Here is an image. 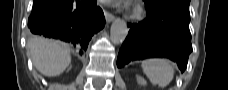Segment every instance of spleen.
Masks as SVG:
<instances>
[{
    "mask_svg": "<svg viewBox=\"0 0 228 90\" xmlns=\"http://www.w3.org/2000/svg\"><path fill=\"white\" fill-rule=\"evenodd\" d=\"M141 65L148 79L161 88L166 87L174 77V68L167 59H148L144 60Z\"/></svg>",
    "mask_w": 228,
    "mask_h": 90,
    "instance_id": "obj_1",
    "label": "spleen"
}]
</instances>
